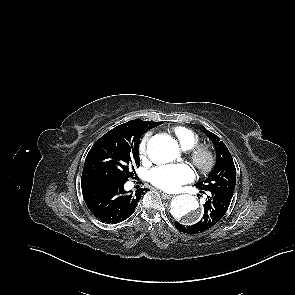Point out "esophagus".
<instances>
[{"label": "esophagus", "instance_id": "esophagus-1", "mask_svg": "<svg viewBox=\"0 0 295 295\" xmlns=\"http://www.w3.org/2000/svg\"><path fill=\"white\" fill-rule=\"evenodd\" d=\"M160 193H161L162 197L167 198V199H170V198H172L174 196V195L167 194V193H164V192H161V191H160Z\"/></svg>", "mask_w": 295, "mask_h": 295}]
</instances>
